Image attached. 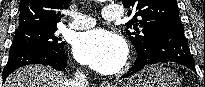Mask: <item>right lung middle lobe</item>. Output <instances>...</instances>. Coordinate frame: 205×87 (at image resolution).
<instances>
[{"label": "right lung middle lobe", "instance_id": "1", "mask_svg": "<svg viewBox=\"0 0 205 87\" xmlns=\"http://www.w3.org/2000/svg\"><path fill=\"white\" fill-rule=\"evenodd\" d=\"M56 30L57 28H50L16 32L12 46L36 45L59 51L63 49L64 43L60 42L61 38L55 34Z\"/></svg>", "mask_w": 205, "mask_h": 87}]
</instances>
